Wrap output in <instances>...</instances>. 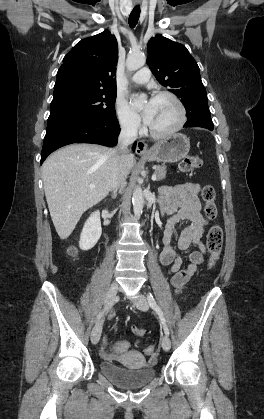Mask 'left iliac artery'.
Listing matches in <instances>:
<instances>
[{
    "mask_svg": "<svg viewBox=\"0 0 264 419\" xmlns=\"http://www.w3.org/2000/svg\"><path fill=\"white\" fill-rule=\"evenodd\" d=\"M147 299H148V303H149V305L151 306V308H152L153 310H155V311H156V313L158 314V316H159V318H160V320H161V323H162V325H163V329H164L165 334H166V335H169V329H168V327H167V324H166L165 318H164V316H163V313H162V311H161L160 307H159V306H158V304L156 303V301H155V299H154L153 295H152L151 293H148V294H147Z\"/></svg>",
    "mask_w": 264,
    "mask_h": 419,
    "instance_id": "44dca946",
    "label": "left iliac artery"
}]
</instances>
